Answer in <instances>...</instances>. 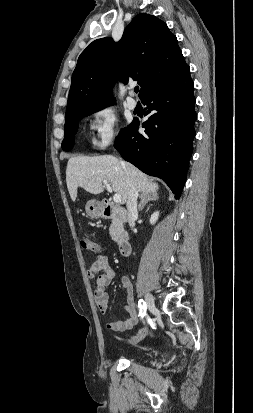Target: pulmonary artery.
I'll return each mask as SVG.
<instances>
[{"label":"pulmonary artery","mask_w":253,"mask_h":413,"mask_svg":"<svg viewBox=\"0 0 253 413\" xmlns=\"http://www.w3.org/2000/svg\"><path fill=\"white\" fill-rule=\"evenodd\" d=\"M133 90H130V96L127 98V106L129 109L134 110L137 106V101L133 98Z\"/></svg>","instance_id":"1"}]
</instances>
